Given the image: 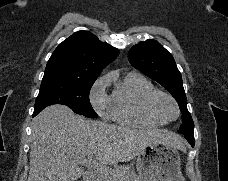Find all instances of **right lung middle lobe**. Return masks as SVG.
Returning a JSON list of instances; mask_svg holds the SVG:
<instances>
[{
    "instance_id": "dd1d6c3e",
    "label": "right lung middle lobe",
    "mask_w": 228,
    "mask_h": 181,
    "mask_svg": "<svg viewBox=\"0 0 228 181\" xmlns=\"http://www.w3.org/2000/svg\"><path fill=\"white\" fill-rule=\"evenodd\" d=\"M95 80L73 81L59 78H43L36 98L34 112L52 104H63L75 113L89 118L98 117L89 101V92Z\"/></svg>"
}]
</instances>
